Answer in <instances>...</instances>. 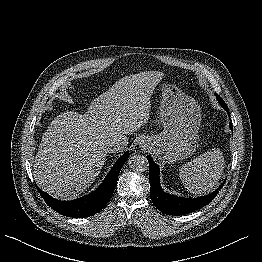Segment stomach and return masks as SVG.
I'll use <instances>...</instances> for the list:
<instances>
[{
	"label": "stomach",
	"instance_id": "0dacf381",
	"mask_svg": "<svg viewBox=\"0 0 262 262\" xmlns=\"http://www.w3.org/2000/svg\"><path fill=\"white\" fill-rule=\"evenodd\" d=\"M160 118L163 131L146 136L142 147L151 148L164 163L190 157L198 147L201 110L197 102L171 84L161 86Z\"/></svg>",
	"mask_w": 262,
	"mask_h": 262
}]
</instances>
